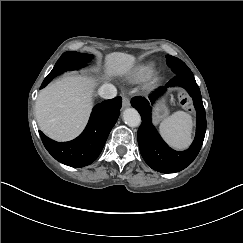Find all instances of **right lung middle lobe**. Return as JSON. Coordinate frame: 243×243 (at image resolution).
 Returning a JSON list of instances; mask_svg holds the SVG:
<instances>
[{
	"label": "right lung middle lobe",
	"instance_id": "obj_1",
	"mask_svg": "<svg viewBox=\"0 0 243 243\" xmlns=\"http://www.w3.org/2000/svg\"><path fill=\"white\" fill-rule=\"evenodd\" d=\"M92 55L81 54L78 52H65L56 62L54 68L49 73V75L44 79L40 88L47 86L49 82L52 81L54 77L62 74L67 70H75L87 65V63L92 59Z\"/></svg>",
	"mask_w": 243,
	"mask_h": 243
}]
</instances>
